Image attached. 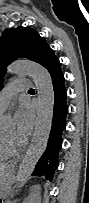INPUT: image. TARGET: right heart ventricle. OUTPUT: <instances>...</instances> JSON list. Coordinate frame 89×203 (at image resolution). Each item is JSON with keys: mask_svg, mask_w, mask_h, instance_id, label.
Returning <instances> with one entry per match:
<instances>
[{"mask_svg": "<svg viewBox=\"0 0 89 203\" xmlns=\"http://www.w3.org/2000/svg\"><path fill=\"white\" fill-rule=\"evenodd\" d=\"M7 158H9V155H7L3 149V145H2V140L0 137V160H6Z\"/></svg>", "mask_w": 89, "mask_h": 203, "instance_id": "e07e8e85", "label": "right heart ventricle"}]
</instances>
